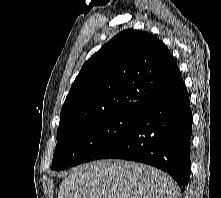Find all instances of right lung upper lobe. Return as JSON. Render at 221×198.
Segmentation results:
<instances>
[{"mask_svg":"<svg viewBox=\"0 0 221 198\" xmlns=\"http://www.w3.org/2000/svg\"><path fill=\"white\" fill-rule=\"evenodd\" d=\"M182 81L175 59L159 39L124 30L82 66L63 104L57 136L110 115H140Z\"/></svg>","mask_w":221,"mask_h":198,"instance_id":"obj_1","label":"right lung upper lobe"}]
</instances>
